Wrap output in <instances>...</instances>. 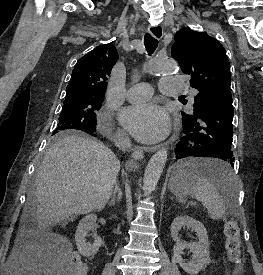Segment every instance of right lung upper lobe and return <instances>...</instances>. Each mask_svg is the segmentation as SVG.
Listing matches in <instances>:
<instances>
[{"mask_svg":"<svg viewBox=\"0 0 263 275\" xmlns=\"http://www.w3.org/2000/svg\"><path fill=\"white\" fill-rule=\"evenodd\" d=\"M117 59V50L113 44L97 46L81 57L66 88V98L79 95L104 97L106 81Z\"/></svg>","mask_w":263,"mask_h":275,"instance_id":"right-lung-upper-lobe-1","label":"right lung upper lobe"}]
</instances>
